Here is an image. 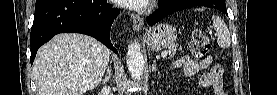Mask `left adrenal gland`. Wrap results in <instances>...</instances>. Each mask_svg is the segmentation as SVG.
I'll return each mask as SVG.
<instances>
[{"label": "left adrenal gland", "mask_w": 277, "mask_h": 95, "mask_svg": "<svg viewBox=\"0 0 277 95\" xmlns=\"http://www.w3.org/2000/svg\"><path fill=\"white\" fill-rule=\"evenodd\" d=\"M155 68H156V61L154 60L153 65H152V69L155 70Z\"/></svg>", "instance_id": "obj_1"}]
</instances>
